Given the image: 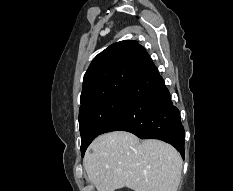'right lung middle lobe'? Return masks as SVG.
I'll return each mask as SVG.
<instances>
[{
    "mask_svg": "<svg viewBox=\"0 0 233 191\" xmlns=\"http://www.w3.org/2000/svg\"><path fill=\"white\" fill-rule=\"evenodd\" d=\"M129 92H119L104 97L79 109V128L81 134V154L84 153L101 131L126 106Z\"/></svg>",
    "mask_w": 233,
    "mask_h": 191,
    "instance_id": "1",
    "label": "right lung middle lobe"
}]
</instances>
